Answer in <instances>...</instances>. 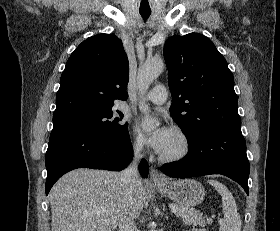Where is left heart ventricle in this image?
<instances>
[{
  "label": "left heart ventricle",
  "instance_id": "left-heart-ventricle-1",
  "mask_svg": "<svg viewBox=\"0 0 280 231\" xmlns=\"http://www.w3.org/2000/svg\"><path fill=\"white\" fill-rule=\"evenodd\" d=\"M178 146H179L178 140H177L176 136H174L173 141L171 142V144L169 145V147L163 154H170V153L174 152L178 148Z\"/></svg>",
  "mask_w": 280,
  "mask_h": 231
}]
</instances>
